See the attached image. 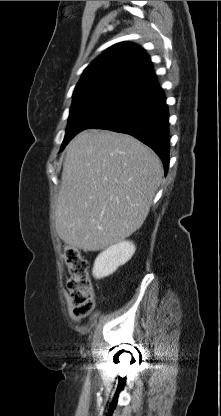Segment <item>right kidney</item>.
<instances>
[{
    "label": "right kidney",
    "mask_w": 221,
    "mask_h": 416,
    "mask_svg": "<svg viewBox=\"0 0 221 416\" xmlns=\"http://www.w3.org/2000/svg\"><path fill=\"white\" fill-rule=\"evenodd\" d=\"M135 245L130 241H120L100 253L93 266V276L101 279L113 274L119 266L128 262L135 253Z\"/></svg>",
    "instance_id": "right-kidney-1"
}]
</instances>
